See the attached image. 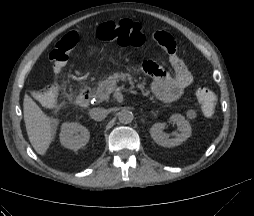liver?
Instances as JSON below:
<instances>
[{"mask_svg":"<svg viewBox=\"0 0 254 216\" xmlns=\"http://www.w3.org/2000/svg\"><path fill=\"white\" fill-rule=\"evenodd\" d=\"M23 114L31 145L38 154L45 155L54 138L58 121L47 116L28 95L24 96Z\"/></svg>","mask_w":254,"mask_h":216,"instance_id":"obj_1","label":"liver"}]
</instances>
